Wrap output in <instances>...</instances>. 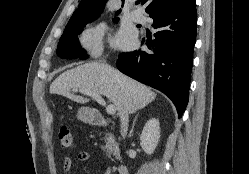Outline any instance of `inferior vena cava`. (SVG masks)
Instances as JSON below:
<instances>
[{
  "label": "inferior vena cava",
  "mask_w": 249,
  "mask_h": 174,
  "mask_svg": "<svg viewBox=\"0 0 249 174\" xmlns=\"http://www.w3.org/2000/svg\"><path fill=\"white\" fill-rule=\"evenodd\" d=\"M120 119H121V135L123 136V138H125L127 135L128 123H129V113L126 108H124L120 113Z\"/></svg>",
  "instance_id": "602c4592"
}]
</instances>
